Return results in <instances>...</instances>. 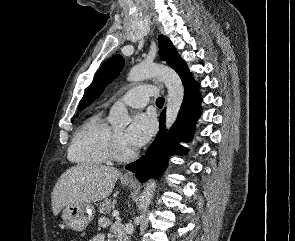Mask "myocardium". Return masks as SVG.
<instances>
[{
  "label": "myocardium",
  "instance_id": "1",
  "mask_svg": "<svg viewBox=\"0 0 295 241\" xmlns=\"http://www.w3.org/2000/svg\"><path fill=\"white\" fill-rule=\"evenodd\" d=\"M108 153H109V157L110 159L114 160V161H128L131 160L135 157V152L134 151H125L115 132L113 131L110 137V142H109V147H108Z\"/></svg>",
  "mask_w": 295,
  "mask_h": 241
}]
</instances>
